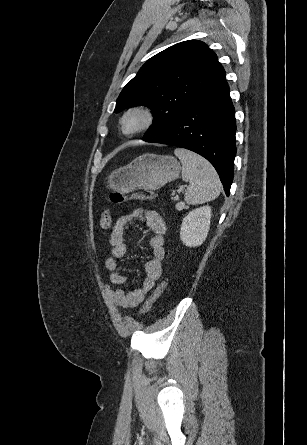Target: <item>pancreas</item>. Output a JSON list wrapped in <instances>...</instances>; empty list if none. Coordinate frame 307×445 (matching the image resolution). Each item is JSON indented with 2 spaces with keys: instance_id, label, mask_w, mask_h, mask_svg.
I'll return each instance as SVG.
<instances>
[{
  "instance_id": "1",
  "label": "pancreas",
  "mask_w": 307,
  "mask_h": 445,
  "mask_svg": "<svg viewBox=\"0 0 307 445\" xmlns=\"http://www.w3.org/2000/svg\"><path fill=\"white\" fill-rule=\"evenodd\" d=\"M173 200H178L179 196L177 194V196H172Z\"/></svg>"
}]
</instances>
